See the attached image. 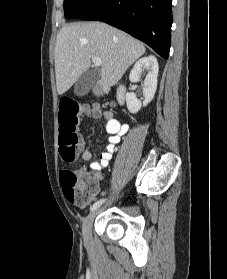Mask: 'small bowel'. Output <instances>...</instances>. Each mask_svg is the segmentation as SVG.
I'll list each match as a JSON object with an SVG mask.
<instances>
[{"instance_id": "small-bowel-1", "label": "small bowel", "mask_w": 227, "mask_h": 279, "mask_svg": "<svg viewBox=\"0 0 227 279\" xmlns=\"http://www.w3.org/2000/svg\"><path fill=\"white\" fill-rule=\"evenodd\" d=\"M103 118L106 121V131L109 134L108 143L105 150L100 153L99 159L91 162L83 172L84 175L94 176L97 183L102 180V171L108 167L112 155L116 150V145L120 142L121 136L126 134L129 129L127 124L114 119L109 111L104 112ZM92 156V151L89 149L84 150L81 155L84 161H90ZM97 193H99V191H97Z\"/></svg>"}]
</instances>
